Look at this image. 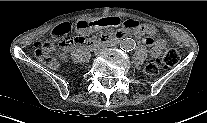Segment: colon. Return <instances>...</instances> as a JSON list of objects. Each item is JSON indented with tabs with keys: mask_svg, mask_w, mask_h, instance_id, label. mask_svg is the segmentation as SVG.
Returning a JSON list of instances; mask_svg holds the SVG:
<instances>
[{
	"mask_svg": "<svg viewBox=\"0 0 207 123\" xmlns=\"http://www.w3.org/2000/svg\"><path fill=\"white\" fill-rule=\"evenodd\" d=\"M53 38L60 41L63 45L72 43H83V37L71 36V25L69 23H61L57 25L52 32ZM35 55L44 64L50 67H57L58 62L53 56V44L49 41L38 42L35 44ZM180 59L179 50L176 47L167 49L161 59L151 60L145 68L149 76L156 75L162 68L175 66Z\"/></svg>",
	"mask_w": 207,
	"mask_h": 123,
	"instance_id": "colon-1",
	"label": "colon"
}]
</instances>
